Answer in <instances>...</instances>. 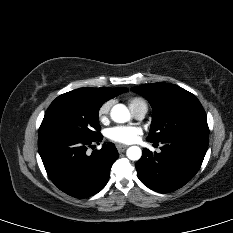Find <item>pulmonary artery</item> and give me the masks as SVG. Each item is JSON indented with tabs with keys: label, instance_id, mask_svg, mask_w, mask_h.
Masks as SVG:
<instances>
[{
	"label": "pulmonary artery",
	"instance_id": "e3ab8cb5",
	"mask_svg": "<svg viewBox=\"0 0 233 233\" xmlns=\"http://www.w3.org/2000/svg\"><path fill=\"white\" fill-rule=\"evenodd\" d=\"M147 105L146 104H140L131 109L132 114L135 116L137 119H142L146 113H147Z\"/></svg>",
	"mask_w": 233,
	"mask_h": 233
}]
</instances>
